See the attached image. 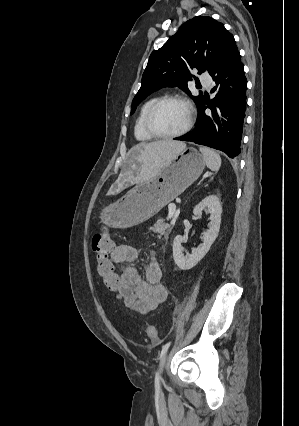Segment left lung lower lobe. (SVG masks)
Wrapping results in <instances>:
<instances>
[{
    "instance_id": "1",
    "label": "left lung lower lobe",
    "mask_w": 299,
    "mask_h": 426,
    "mask_svg": "<svg viewBox=\"0 0 299 426\" xmlns=\"http://www.w3.org/2000/svg\"><path fill=\"white\" fill-rule=\"evenodd\" d=\"M210 75L215 82L211 90L215 97L208 105L212 114H205L209 101L204 98L198 105L195 129L174 139L221 150L230 158H235L241 151L247 99V80L238 49L230 53Z\"/></svg>"
}]
</instances>
